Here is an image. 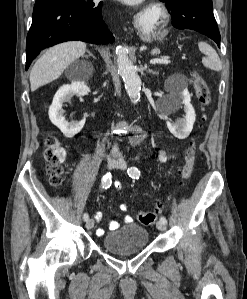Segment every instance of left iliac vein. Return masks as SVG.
Returning <instances> with one entry per match:
<instances>
[{"label": "left iliac vein", "instance_id": "obj_1", "mask_svg": "<svg viewBox=\"0 0 247 299\" xmlns=\"http://www.w3.org/2000/svg\"><path fill=\"white\" fill-rule=\"evenodd\" d=\"M115 167L124 170L126 169V162L124 161L123 158H119ZM156 227L158 230L164 231L166 229V224L160 220L157 222Z\"/></svg>", "mask_w": 247, "mask_h": 299}]
</instances>
